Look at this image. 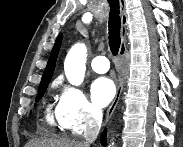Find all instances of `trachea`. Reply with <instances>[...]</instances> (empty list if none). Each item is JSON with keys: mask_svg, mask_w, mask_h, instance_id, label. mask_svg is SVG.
<instances>
[{"mask_svg": "<svg viewBox=\"0 0 183 147\" xmlns=\"http://www.w3.org/2000/svg\"><path fill=\"white\" fill-rule=\"evenodd\" d=\"M110 5V12H109V22H108V29H109V47L114 56L118 54L120 44H121V37H120V29H121V22H120V6L118 0H109Z\"/></svg>", "mask_w": 183, "mask_h": 147, "instance_id": "3493384b", "label": "trachea"}]
</instances>
